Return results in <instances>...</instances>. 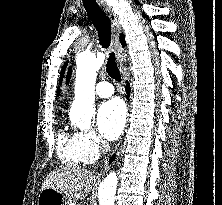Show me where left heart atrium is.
<instances>
[{"label": "left heart atrium", "instance_id": "left-heart-atrium-1", "mask_svg": "<svg viewBox=\"0 0 222 205\" xmlns=\"http://www.w3.org/2000/svg\"><path fill=\"white\" fill-rule=\"evenodd\" d=\"M126 121L124 104L119 99L104 102L98 110L97 123L101 135L115 140L121 134Z\"/></svg>", "mask_w": 222, "mask_h": 205}]
</instances>
